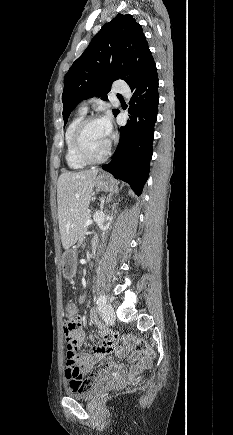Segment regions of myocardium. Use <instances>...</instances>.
<instances>
[{"mask_svg": "<svg viewBox=\"0 0 233 435\" xmlns=\"http://www.w3.org/2000/svg\"><path fill=\"white\" fill-rule=\"evenodd\" d=\"M100 120L101 118L95 115L86 116L78 123L74 131V135H73L74 148L76 150L77 155L80 157V159H82L87 164H96V163L103 162L108 158V156L111 153V149L114 141L113 137L110 138V141L107 145L105 152L100 156L91 155L85 146L83 135L86 127L90 123L95 121H100Z\"/></svg>", "mask_w": 233, "mask_h": 435, "instance_id": "obj_1", "label": "myocardium"}]
</instances>
